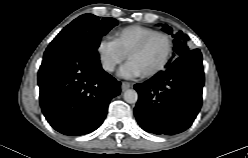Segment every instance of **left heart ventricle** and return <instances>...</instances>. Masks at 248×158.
I'll use <instances>...</instances> for the list:
<instances>
[{"mask_svg": "<svg viewBox=\"0 0 248 158\" xmlns=\"http://www.w3.org/2000/svg\"><path fill=\"white\" fill-rule=\"evenodd\" d=\"M166 51V41L160 36H155L141 51L133 54L130 60L139 67L142 73H145L153 70L163 61Z\"/></svg>", "mask_w": 248, "mask_h": 158, "instance_id": "left-heart-ventricle-1", "label": "left heart ventricle"}]
</instances>
